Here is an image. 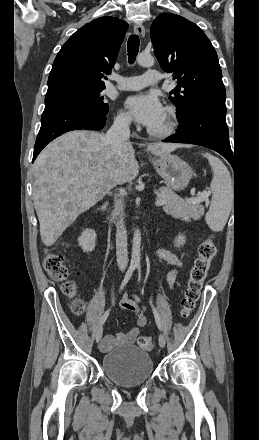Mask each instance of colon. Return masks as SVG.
I'll list each match as a JSON object with an SVG mask.
<instances>
[{
  "instance_id": "obj_1",
  "label": "colon",
  "mask_w": 259,
  "mask_h": 440,
  "mask_svg": "<svg viewBox=\"0 0 259 440\" xmlns=\"http://www.w3.org/2000/svg\"><path fill=\"white\" fill-rule=\"evenodd\" d=\"M216 255V245L212 236L205 239L198 247V256L194 261V265L190 271L186 290L181 301V317L187 318L193 311L199 297L203 282L206 278L207 272L211 265L213 258ZM43 267L46 273L54 281L61 283L62 292L68 296L73 297L76 292L75 283L69 279V268L65 263V258L62 254L48 251L43 259ZM84 310V304L81 301H76L73 304V311L79 315ZM138 344L145 350H152L155 348V341L148 336H141L138 339Z\"/></svg>"
}]
</instances>
